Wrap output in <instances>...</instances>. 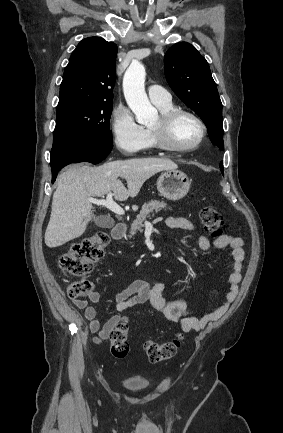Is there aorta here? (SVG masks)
<instances>
[{"instance_id": "aorta-1", "label": "aorta", "mask_w": 283, "mask_h": 433, "mask_svg": "<svg viewBox=\"0 0 283 433\" xmlns=\"http://www.w3.org/2000/svg\"><path fill=\"white\" fill-rule=\"evenodd\" d=\"M145 67L140 62H132L123 78V91L126 102L134 112L139 124L146 125L157 118L158 112L151 105L145 92Z\"/></svg>"}]
</instances>
